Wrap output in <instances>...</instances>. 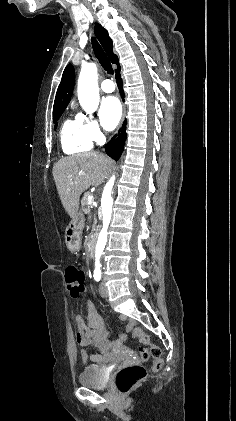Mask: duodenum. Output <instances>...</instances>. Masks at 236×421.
I'll return each instance as SVG.
<instances>
[{"label": "duodenum", "instance_id": "duodenum-1", "mask_svg": "<svg viewBox=\"0 0 236 421\" xmlns=\"http://www.w3.org/2000/svg\"><path fill=\"white\" fill-rule=\"evenodd\" d=\"M97 242V233H93L89 239L88 250L91 256L94 255V250ZM104 330L103 329H87L85 324L80 326L78 332L79 342L82 345H87L89 342L90 336H94L96 342H100L103 338ZM125 336H122L120 342H123ZM100 354H96L92 356V360L96 362H109L114 360L115 356L109 352V348L111 347L110 343H100Z\"/></svg>", "mask_w": 236, "mask_h": 421}]
</instances>
